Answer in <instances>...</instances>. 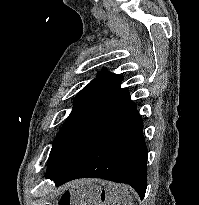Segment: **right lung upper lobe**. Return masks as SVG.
<instances>
[{
	"label": "right lung upper lobe",
	"mask_w": 199,
	"mask_h": 205,
	"mask_svg": "<svg viewBox=\"0 0 199 205\" xmlns=\"http://www.w3.org/2000/svg\"><path fill=\"white\" fill-rule=\"evenodd\" d=\"M122 76L103 69L74 99L73 111H94L124 121L135 116L137 108L129 92L120 88Z\"/></svg>",
	"instance_id": "obj_1"
}]
</instances>
